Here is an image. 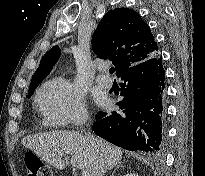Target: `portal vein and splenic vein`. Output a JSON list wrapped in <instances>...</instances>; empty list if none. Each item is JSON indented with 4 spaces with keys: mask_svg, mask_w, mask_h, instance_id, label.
<instances>
[{
    "mask_svg": "<svg viewBox=\"0 0 205 176\" xmlns=\"http://www.w3.org/2000/svg\"><path fill=\"white\" fill-rule=\"evenodd\" d=\"M61 154V153H60ZM62 155V154H61ZM82 176H90V173L88 171H82Z\"/></svg>",
    "mask_w": 205,
    "mask_h": 176,
    "instance_id": "obj_1",
    "label": "portal vein and splenic vein"
}]
</instances>
